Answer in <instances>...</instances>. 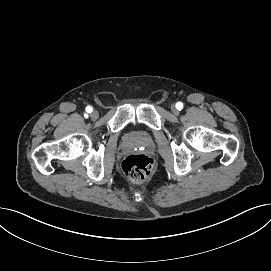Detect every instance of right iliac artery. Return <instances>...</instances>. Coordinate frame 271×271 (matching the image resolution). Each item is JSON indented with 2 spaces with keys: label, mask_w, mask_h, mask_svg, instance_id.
<instances>
[{
  "label": "right iliac artery",
  "mask_w": 271,
  "mask_h": 271,
  "mask_svg": "<svg viewBox=\"0 0 271 271\" xmlns=\"http://www.w3.org/2000/svg\"><path fill=\"white\" fill-rule=\"evenodd\" d=\"M92 110H93L92 107H90V106H87V107H86V111H87L88 113H91Z\"/></svg>",
  "instance_id": "obj_1"
}]
</instances>
